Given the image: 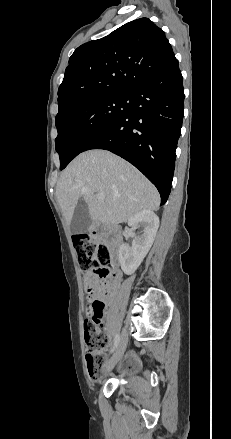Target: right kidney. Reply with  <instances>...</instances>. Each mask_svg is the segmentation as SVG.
<instances>
[{
  "label": "right kidney",
  "mask_w": 231,
  "mask_h": 439,
  "mask_svg": "<svg viewBox=\"0 0 231 439\" xmlns=\"http://www.w3.org/2000/svg\"><path fill=\"white\" fill-rule=\"evenodd\" d=\"M128 225L133 231L138 227L144 228L141 235L134 237L132 248L126 244H122L119 248L121 268L126 275H131L140 266L154 242L159 227V218L153 211L143 210L132 216Z\"/></svg>",
  "instance_id": "1"
}]
</instances>
